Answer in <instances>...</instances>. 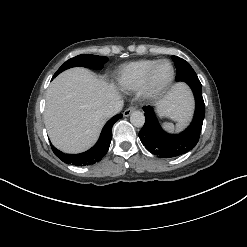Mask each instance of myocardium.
Masks as SVG:
<instances>
[{"mask_svg":"<svg viewBox=\"0 0 247 247\" xmlns=\"http://www.w3.org/2000/svg\"><path fill=\"white\" fill-rule=\"evenodd\" d=\"M162 62H168L171 67V74L169 79L160 86H154L152 83V77L154 74V71L156 67L162 63ZM175 77V68L173 63L169 59H159L156 60L151 67L148 69V71L145 74V77L139 87V95L146 100H152L158 98L160 95H162L167 88L171 85Z\"/></svg>","mask_w":247,"mask_h":247,"instance_id":"myocardium-1","label":"myocardium"}]
</instances>
